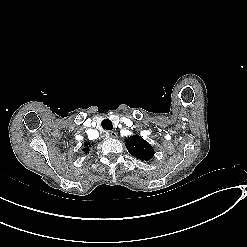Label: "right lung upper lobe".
<instances>
[{"mask_svg":"<svg viewBox=\"0 0 247 247\" xmlns=\"http://www.w3.org/2000/svg\"><path fill=\"white\" fill-rule=\"evenodd\" d=\"M88 146H90L89 143H85V148H84V151L85 152H88L89 151V147Z\"/></svg>","mask_w":247,"mask_h":247,"instance_id":"right-lung-upper-lobe-1","label":"right lung upper lobe"}]
</instances>
